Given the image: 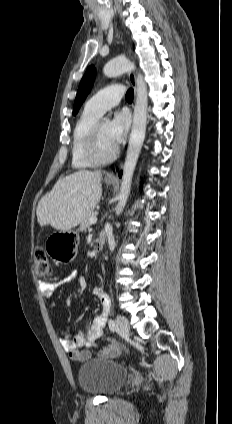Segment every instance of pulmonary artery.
<instances>
[{"mask_svg":"<svg viewBox=\"0 0 232 424\" xmlns=\"http://www.w3.org/2000/svg\"><path fill=\"white\" fill-rule=\"evenodd\" d=\"M124 93L125 89L122 85L107 86L87 101L86 108L102 115L118 105Z\"/></svg>","mask_w":232,"mask_h":424,"instance_id":"1","label":"pulmonary artery"}]
</instances>
